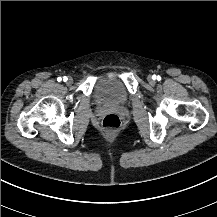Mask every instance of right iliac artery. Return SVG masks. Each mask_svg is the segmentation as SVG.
Here are the masks:
<instances>
[{"mask_svg": "<svg viewBox=\"0 0 217 217\" xmlns=\"http://www.w3.org/2000/svg\"><path fill=\"white\" fill-rule=\"evenodd\" d=\"M57 81H58V82L62 81V78H61V77H58V78H57ZM63 81H64V82L67 81V77H66V76L63 77Z\"/></svg>", "mask_w": 217, "mask_h": 217, "instance_id": "right-iliac-artery-1", "label": "right iliac artery"}]
</instances>
